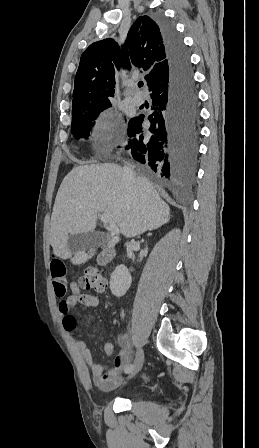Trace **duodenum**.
Masks as SVG:
<instances>
[{"label":"duodenum","instance_id":"1","mask_svg":"<svg viewBox=\"0 0 259 448\" xmlns=\"http://www.w3.org/2000/svg\"><path fill=\"white\" fill-rule=\"evenodd\" d=\"M115 256V250L112 247L105 248L98 255V263L101 266H107L111 263Z\"/></svg>","mask_w":259,"mask_h":448}]
</instances>
